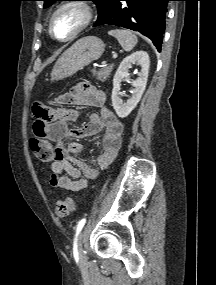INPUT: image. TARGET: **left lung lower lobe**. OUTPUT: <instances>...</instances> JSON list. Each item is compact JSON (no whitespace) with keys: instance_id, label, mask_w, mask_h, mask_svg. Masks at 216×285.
<instances>
[{"instance_id":"left-lung-lower-lobe-1","label":"left lung lower lobe","mask_w":216,"mask_h":285,"mask_svg":"<svg viewBox=\"0 0 216 285\" xmlns=\"http://www.w3.org/2000/svg\"><path fill=\"white\" fill-rule=\"evenodd\" d=\"M170 0H114L94 27L105 24L131 29L148 37L160 52Z\"/></svg>"}]
</instances>
